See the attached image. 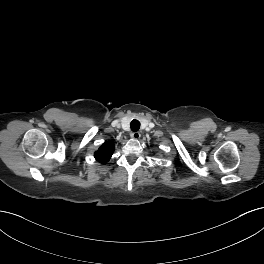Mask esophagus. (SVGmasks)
Instances as JSON below:
<instances>
[{
	"instance_id": "obj_1",
	"label": "esophagus",
	"mask_w": 264,
	"mask_h": 264,
	"mask_svg": "<svg viewBox=\"0 0 264 264\" xmlns=\"http://www.w3.org/2000/svg\"><path fill=\"white\" fill-rule=\"evenodd\" d=\"M132 139H139L140 138V133L139 132H132L130 134Z\"/></svg>"
}]
</instances>
